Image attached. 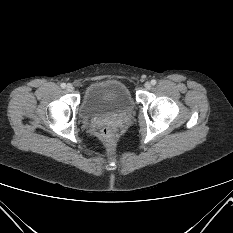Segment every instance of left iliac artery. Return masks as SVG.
I'll list each match as a JSON object with an SVG mask.
<instances>
[{
  "instance_id": "44dca946",
  "label": "left iliac artery",
  "mask_w": 233,
  "mask_h": 233,
  "mask_svg": "<svg viewBox=\"0 0 233 233\" xmlns=\"http://www.w3.org/2000/svg\"><path fill=\"white\" fill-rule=\"evenodd\" d=\"M156 83H157L156 80H154V79L151 80V84H152V85H155Z\"/></svg>"
}]
</instances>
